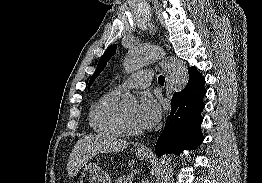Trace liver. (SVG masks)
Listing matches in <instances>:
<instances>
[{
	"instance_id": "6515ba94",
	"label": "liver",
	"mask_w": 262,
	"mask_h": 183,
	"mask_svg": "<svg viewBox=\"0 0 262 183\" xmlns=\"http://www.w3.org/2000/svg\"><path fill=\"white\" fill-rule=\"evenodd\" d=\"M128 142L104 134H89L75 144L68 159V174L72 178L93 156L99 153L119 152L128 147Z\"/></svg>"
}]
</instances>
